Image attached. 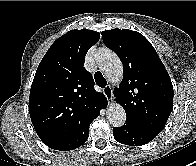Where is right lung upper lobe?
<instances>
[{
	"label": "right lung upper lobe",
	"mask_w": 196,
	"mask_h": 166,
	"mask_svg": "<svg viewBox=\"0 0 196 166\" xmlns=\"http://www.w3.org/2000/svg\"><path fill=\"white\" fill-rule=\"evenodd\" d=\"M99 38L93 30H71L41 60L29 96L31 121L41 140L83 137L107 102L83 67L87 51Z\"/></svg>",
	"instance_id": "cb5924a9"
}]
</instances>
